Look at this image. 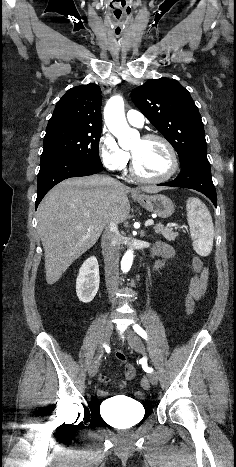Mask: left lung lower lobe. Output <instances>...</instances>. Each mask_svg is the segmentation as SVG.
Instances as JSON below:
<instances>
[{"instance_id":"1","label":"left lung lower lobe","mask_w":236,"mask_h":467,"mask_svg":"<svg viewBox=\"0 0 236 467\" xmlns=\"http://www.w3.org/2000/svg\"><path fill=\"white\" fill-rule=\"evenodd\" d=\"M159 185L197 190L206 195L217 206L216 190L206 154L198 155L182 166V170L175 180Z\"/></svg>"}]
</instances>
